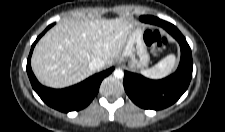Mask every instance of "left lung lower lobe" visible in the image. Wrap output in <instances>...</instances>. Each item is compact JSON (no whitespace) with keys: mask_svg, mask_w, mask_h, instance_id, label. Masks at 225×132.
Listing matches in <instances>:
<instances>
[{"mask_svg":"<svg viewBox=\"0 0 225 132\" xmlns=\"http://www.w3.org/2000/svg\"><path fill=\"white\" fill-rule=\"evenodd\" d=\"M140 20L164 28L181 48L177 71L162 80H150L142 75L124 72L123 84L129 98L141 108L159 110L174 104L187 90L193 69L191 49L185 37L171 23L153 16H141Z\"/></svg>","mask_w":225,"mask_h":132,"instance_id":"0a47b994","label":"left lung lower lobe"}]
</instances>
